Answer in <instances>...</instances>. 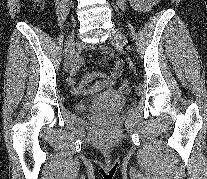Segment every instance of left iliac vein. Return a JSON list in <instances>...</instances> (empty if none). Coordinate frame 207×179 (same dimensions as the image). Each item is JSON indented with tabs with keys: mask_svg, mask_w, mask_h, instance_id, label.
I'll return each instance as SVG.
<instances>
[{
	"mask_svg": "<svg viewBox=\"0 0 207 179\" xmlns=\"http://www.w3.org/2000/svg\"><path fill=\"white\" fill-rule=\"evenodd\" d=\"M110 41L112 44L122 46L123 49H127L128 52H131L132 46L130 45V42L127 41L126 36L118 29H113L110 36ZM128 57H130V59H133V56H131V54H128Z\"/></svg>",
	"mask_w": 207,
	"mask_h": 179,
	"instance_id": "4c4485c4",
	"label": "left iliac vein"
}]
</instances>
